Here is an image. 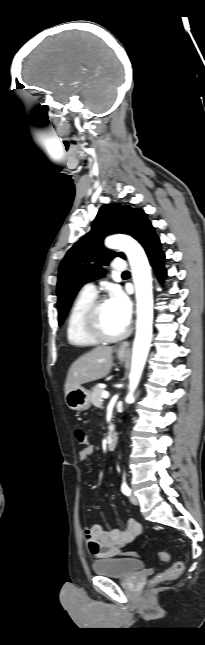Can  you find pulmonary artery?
I'll return each mask as SVG.
<instances>
[{
    "label": "pulmonary artery",
    "mask_w": 205,
    "mask_h": 645,
    "mask_svg": "<svg viewBox=\"0 0 205 645\" xmlns=\"http://www.w3.org/2000/svg\"><path fill=\"white\" fill-rule=\"evenodd\" d=\"M112 268L116 272H124L127 268L126 262L122 259H116L112 263ZM82 293L95 296L97 294V288L94 282H88L83 285L81 289Z\"/></svg>",
    "instance_id": "1"
}]
</instances>
